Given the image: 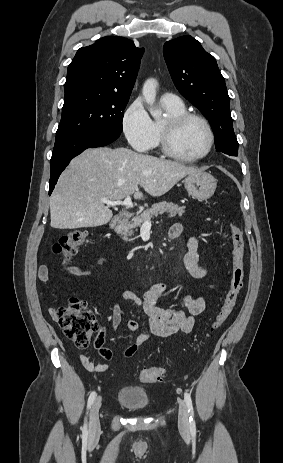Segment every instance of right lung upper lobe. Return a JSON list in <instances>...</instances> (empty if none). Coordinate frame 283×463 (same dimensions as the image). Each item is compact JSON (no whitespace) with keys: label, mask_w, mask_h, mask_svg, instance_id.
<instances>
[{"label":"right lung upper lobe","mask_w":283,"mask_h":463,"mask_svg":"<svg viewBox=\"0 0 283 463\" xmlns=\"http://www.w3.org/2000/svg\"><path fill=\"white\" fill-rule=\"evenodd\" d=\"M143 52L133 41L118 36L80 48L68 66L65 98L82 91L129 98Z\"/></svg>","instance_id":"1"}]
</instances>
